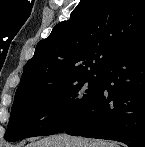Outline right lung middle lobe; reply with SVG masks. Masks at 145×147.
I'll use <instances>...</instances> for the list:
<instances>
[{"mask_svg": "<svg viewBox=\"0 0 145 147\" xmlns=\"http://www.w3.org/2000/svg\"><path fill=\"white\" fill-rule=\"evenodd\" d=\"M100 84L101 73H92L78 76L59 88L16 93L4 138L17 141L63 132L90 104Z\"/></svg>", "mask_w": 145, "mask_h": 147, "instance_id": "obj_1", "label": "right lung middle lobe"}]
</instances>
